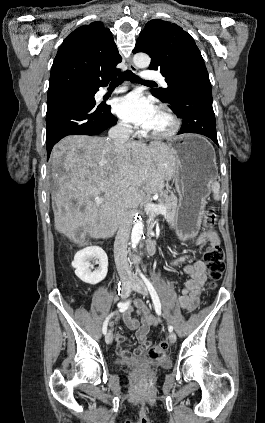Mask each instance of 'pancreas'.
<instances>
[{
    "label": "pancreas",
    "instance_id": "cf45deb5",
    "mask_svg": "<svg viewBox=\"0 0 265 423\" xmlns=\"http://www.w3.org/2000/svg\"><path fill=\"white\" fill-rule=\"evenodd\" d=\"M158 204L164 205L166 207V213L164 215L165 219L168 222V224H170V226H174L175 218H176V208H177V203L174 197L168 195L167 192H161L158 199ZM148 217H149L148 219L149 229H151L153 226L155 214L149 213Z\"/></svg>",
    "mask_w": 265,
    "mask_h": 423
}]
</instances>
